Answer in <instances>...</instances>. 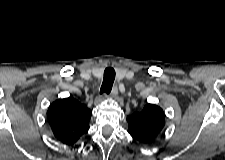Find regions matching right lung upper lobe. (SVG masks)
<instances>
[{
  "label": "right lung upper lobe",
  "instance_id": "1",
  "mask_svg": "<svg viewBox=\"0 0 225 160\" xmlns=\"http://www.w3.org/2000/svg\"><path fill=\"white\" fill-rule=\"evenodd\" d=\"M92 111L71 97L53 102L47 118L54 136L62 143L72 145L89 130Z\"/></svg>",
  "mask_w": 225,
  "mask_h": 160
}]
</instances>
